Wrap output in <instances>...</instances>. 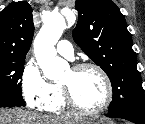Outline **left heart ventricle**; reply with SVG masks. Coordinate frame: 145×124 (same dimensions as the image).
Masks as SVG:
<instances>
[{
	"instance_id": "b2bd125f",
	"label": "left heart ventricle",
	"mask_w": 145,
	"mask_h": 124,
	"mask_svg": "<svg viewBox=\"0 0 145 124\" xmlns=\"http://www.w3.org/2000/svg\"><path fill=\"white\" fill-rule=\"evenodd\" d=\"M60 83L68 86L77 104L86 109L98 108L105 99V84L99 73L93 69L65 74Z\"/></svg>"
}]
</instances>
